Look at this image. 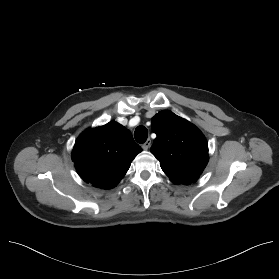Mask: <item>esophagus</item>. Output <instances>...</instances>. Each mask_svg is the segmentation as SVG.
Wrapping results in <instances>:
<instances>
[{
  "mask_svg": "<svg viewBox=\"0 0 279 279\" xmlns=\"http://www.w3.org/2000/svg\"><path fill=\"white\" fill-rule=\"evenodd\" d=\"M151 145V140L150 139H147V141L142 145V148L144 150H148V148L150 147Z\"/></svg>",
  "mask_w": 279,
  "mask_h": 279,
  "instance_id": "1",
  "label": "esophagus"
}]
</instances>
